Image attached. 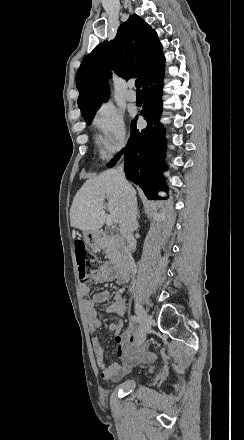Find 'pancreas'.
Segmentation results:
<instances>
[{
	"instance_id": "cf45deb5",
	"label": "pancreas",
	"mask_w": 244,
	"mask_h": 440,
	"mask_svg": "<svg viewBox=\"0 0 244 440\" xmlns=\"http://www.w3.org/2000/svg\"><path fill=\"white\" fill-rule=\"evenodd\" d=\"M104 254H107L110 262L112 264H118L121 254L119 252L121 248L120 240L117 238V234L115 236H105L104 238Z\"/></svg>"
}]
</instances>
